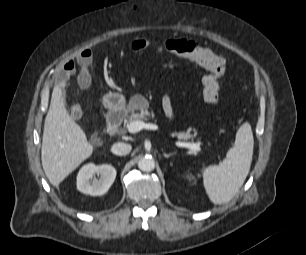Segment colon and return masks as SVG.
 <instances>
[{
	"instance_id": "colon-1",
	"label": "colon",
	"mask_w": 306,
	"mask_h": 255,
	"mask_svg": "<svg viewBox=\"0 0 306 255\" xmlns=\"http://www.w3.org/2000/svg\"><path fill=\"white\" fill-rule=\"evenodd\" d=\"M149 43L145 39H136L131 47L136 52L145 51ZM165 47L170 52L188 59L208 71L202 80L204 99L212 104L218 105L219 79L226 70L225 60L207 48H203L193 41L183 39H170L165 42Z\"/></svg>"
}]
</instances>
